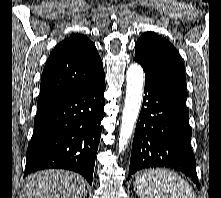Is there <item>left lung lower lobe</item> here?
Here are the masks:
<instances>
[{"label": "left lung lower lobe", "mask_w": 221, "mask_h": 198, "mask_svg": "<svg viewBox=\"0 0 221 198\" xmlns=\"http://www.w3.org/2000/svg\"><path fill=\"white\" fill-rule=\"evenodd\" d=\"M144 93L128 179L140 169L171 167L188 175L200 189L190 144L192 131L186 103L148 75H145Z\"/></svg>", "instance_id": "0a47b994"}]
</instances>
